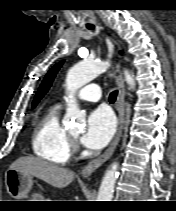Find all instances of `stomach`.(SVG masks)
<instances>
[{"label":"stomach","mask_w":176,"mask_h":211,"mask_svg":"<svg viewBox=\"0 0 176 211\" xmlns=\"http://www.w3.org/2000/svg\"><path fill=\"white\" fill-rule=\"evenodd\" d=\"M5 185L7 192L15 199H31L27 201H43L38 193L31 194L33 177L14 169H8L5 173Z\"/></svg>","instance_id":"obj_1"}]
</instances>
